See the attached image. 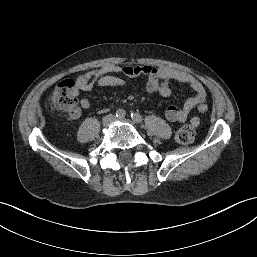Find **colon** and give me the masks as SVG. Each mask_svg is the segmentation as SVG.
Wrapping results in <instances>:
<instances>
[{
  "label": "colon",
  "mask_w": 257,
  "mask_h": 257,
  "mask_svg": "<svg viewBox=\"0 0 257 257\" xmlns=\"http://www.w3.org/2000/svg\"><path fill=\"white\" fill-rule=\"evenodd\" d=\"M77 94L75 93V82L72 80L62 81L51 95L50 101L56 110L75 112L78 107ZM196 136L195 126L187 124L182 126L175 135L179 144H190Z\"/></svg>",
  "instance_id": "obj_1"
}]
</instances>
